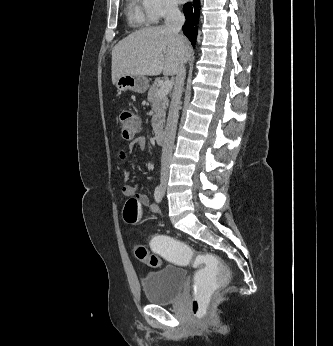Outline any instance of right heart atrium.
I'll list each match as a JSON object with an SVG mask.
<instances>
[{
	"label": "right heart atrium",
	"instance_id": "obj_1",
	"mask_svg": "<svg viewBox=\"0 0 333 346\" xmlns=\"http://www.w3.org/2000/svg\"><path fill=\"white\" fill-rule=\"evenodd\" d=\"M141 3L149 23H157L179 12L175 0H141Z\"/></svg>",
	"mask_w": 333,
	"mask_h": 346
}]
</instances>
